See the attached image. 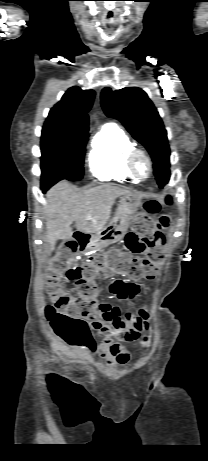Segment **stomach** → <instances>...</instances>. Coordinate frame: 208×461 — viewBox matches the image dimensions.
<instances>
[{"mask_svg": "<svg viewBox=\"0 0 208 461\" xmlns=\"http://www.w3.org/2000/svg\"><path fill=\"white\" fill-rule=\"evenodd\" d=\"M140 206L136 196H122L114 218L103 230L91 236L87 250H102L123 239Z\"/></svg>", "mask_w": 208, "mask_h": 461, "instance_id": "1", "label": "stomach"}]
</instances>
